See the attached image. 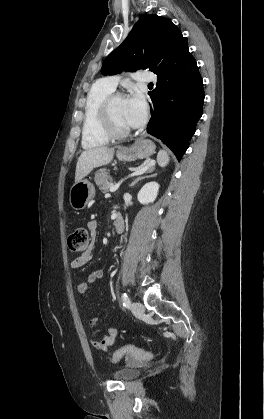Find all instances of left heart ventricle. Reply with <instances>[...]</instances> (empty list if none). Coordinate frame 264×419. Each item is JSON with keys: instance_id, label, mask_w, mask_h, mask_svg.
Returning <instances> with one entry per match:
<instances>
[{"instance_id": "1", "label": "left heart ventricle", "mask_w": 264, "mask_h": 419, "mask_svg": "<svg viewBox=\"0 0 264 419\" xmlns=\"http://www.w3.org/2000/svg\"><path fill=\"white\" fill-rule=\"evenodd\" d=\"M112 114L116 124L120 128H129L130 126L127 124L125 119V99L124 98H117L112 106Z\"/></svg>"}]
</instances>
